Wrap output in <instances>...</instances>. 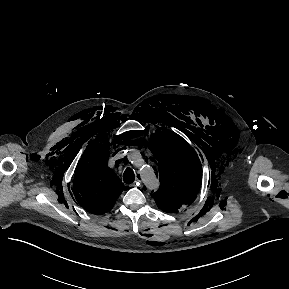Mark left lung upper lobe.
I'll return each mask as SVG.
<instances>
[{"mask_svg": "<svg viewBox=\"0 0 289 289\" xmlns=\"http://www.w3.org/2000/svg\"><path fill=\"white\" fill-rule=\"evenodd\" d=\"M148 147L160 189L152 194L159 209L175 213L196 199L202 181V167L196 152L176 133L157 130Z\"/></svg>", "mask_w": 289, "mask_h": 289, "instance_id": "5c2ea615", "label": "left lung upper lobe"}]
</instances>
